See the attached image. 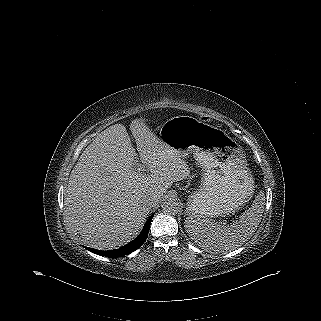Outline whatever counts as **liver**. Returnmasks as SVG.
<instances>
[{
    "label": "liver",
    "instance_id": "obj_1",
    "mask_svg": "<svg viewBox=\"0 0 321 321\" xmlns=\"http://www.w3.org/2000/svg\"><path fill=\"white\" fill-rule=\"evenodd\" d=\"M141 162L122 124L97 135L71 171L64 194V216L70 230L88 246L107 250L123 246L142 230L152 207L173 182L186 179L185 161L162 143L143 118L130 125ZM153 198V205L144 200Z\"/></svg>",
    "mask_w": 321,
    "mask_h": 321
}]
</instances>
